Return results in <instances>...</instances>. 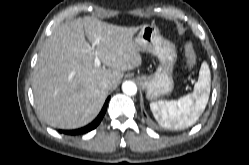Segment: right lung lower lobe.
Wrapping results in <instances>:
<instances>
[{
    "instance_id": "obj_1",
    "label": "right lung lower lobe",
    "mask_w": 249,
    "mask_h": 165,
    "mask_svg": "<svg viewBox=\"0 0 249 165\" xmlns=\"http://www.w3.org/2000/svg\"><path fill=\"white\" fill-rule=\"evenodd\" d=\"M109 98L106 100L101 112L99 113L98 117L89 125L80 128V129H76V130H59V132L64 133V134H68V135H78V134H84L87 133L93 129H95L99 123L101 122V120L103 119V116L106 112L107 109V104H108Z\"/></svg>"
}]
</instances>
